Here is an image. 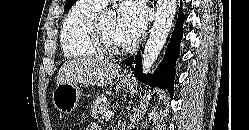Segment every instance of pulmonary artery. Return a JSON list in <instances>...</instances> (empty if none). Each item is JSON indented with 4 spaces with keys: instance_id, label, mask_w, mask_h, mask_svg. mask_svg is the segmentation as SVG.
<instances>
[{
    "instance_id": "1",
    "label": "pulmonary artery",
    "mask_w": 249,
    "mask_h": 130,
    "mask_svg": "<svg viewBox=\"0 0 249 130\" xmlns=\"http://www.w3.org/2000/svg\"><path fill=\"white\" fill-rule=\"evenodd\" d=\"M93 1L95 4L103 7L105 6L108 2H110L111 0H91Z\"/></svg>"
}]
</instances>
